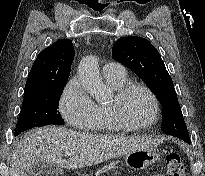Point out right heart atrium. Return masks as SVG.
<instances>
[{
  "mask_svg": "<svg viewBox=\"0 0 205 176\" xmlns=\"http://www.w3.org/2000/svg\"><path fill=\"white\" fill-rule=\"evenodd\" d=\"M58 108L64 120L76 130L89 129L97 114L95 102L85 92L76 77L65 85Z\"/></svg>",
  "mask_w": 205,
  "mask_h": 176,
  "instance_id": "1",
  "label": "right heart atrium"
}]
</instances>
